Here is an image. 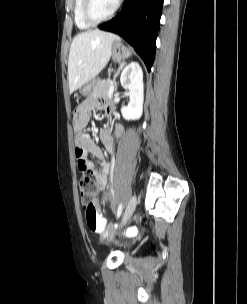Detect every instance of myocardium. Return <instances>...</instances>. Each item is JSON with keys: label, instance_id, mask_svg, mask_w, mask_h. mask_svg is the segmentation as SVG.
I'll return each instance as SVG.
<instances>
[{"label": "myocardium", "instance_id": "f54148a6", "mask_svg": "<svg viewBox=\"0 0 247 304\" xmlns=\"http://www.w3.org/2000/svg\"><path fill=\"white\" fill-rule=\"evenodd\" d=\"M122 2H123V0H118L114 10L106 17L95 18L92 15L93 0H83V5H82L83 19L85 20L86 23H88L91 26L99 25L103 22L109 21L117 14V12L119 11V9L122 5Z\"/></svg>", "mask_w": 247, "mask_h": 304}]
</instances>
